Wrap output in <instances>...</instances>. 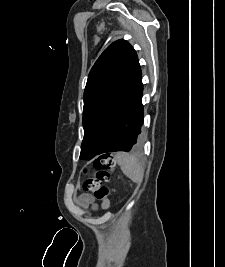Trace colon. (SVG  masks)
Listing matches in <instances>:
<instances>
[{"instance_id":"obj_1","label":"colon","mask_w":225,"mask_h":267,"mask_svg":"<svg viewBox=\"0 0 225 267\" xmlns=\"http://www.w3.org/2000/svg\"><path fill=\"white\" fill-rule=\"evenodd\" d=\"M96 168L95 176L85 178L82 182L83 188L92 191L95 197L102 201V208L108 210L110 207L109 195L111 190L105 185L110 178L115 168V159L112 154L104 153L94 161Z\"/></svg>"}]
</instances>
